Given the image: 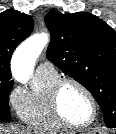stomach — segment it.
Segmentation results:
<instances>
[{
  "instance_id": "1",
  "label": "stomach",
  "mask_w": 116,
  "mask_h": 134,
  "mask_svg": "<svg viewBox=\"0 0 116 134\" xmlns=\"http://www.w3.org/2000/svg\"><path fill=\"white\" fill-rule=\"evenodd\" d=\"M90 134H103V133H100V132L94 131V132H92V133H90Z\"/></svg>"
}]
</instances>
